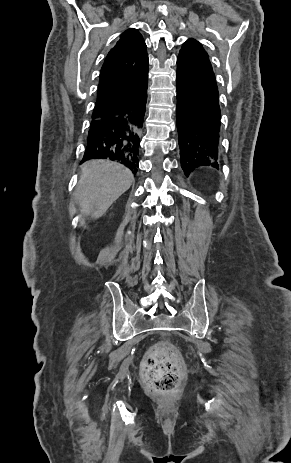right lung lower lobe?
<instances>
[{
    "mask_svg": "<svg viewBox=\"0 0 291 463\" xmlns=\"http://www.w3.org/2000/svg\"><path fill=\"white\" fill-rule=\"evenodd\" d=\"M147 86L148 78L122 105L103 118L92 120L83 161L95 158L117 161L136 174Z\"/></svg>",
    "mask_w": 291,
    "mask_h": 463,
    "instance_id": "right-lung-lower-lobe-1",
    "label": "right lung lower lobe"
}]
</instances>
